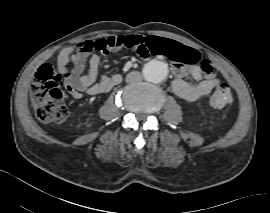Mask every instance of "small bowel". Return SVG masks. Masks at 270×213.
Listing matches in <instances>:
<instances>
[{"label":"small bowel","instance_id":"obj_1","mask_svg":"<svg viewBox=\"0 0 270 213\" xmlns=\"http://www.w3.org/2000/svg\"><path fill=\"white\" fill-rule=\"evenodd\" d=\"M160 46H164L162 49ZM127 47V36L114 35L98 41L84 40L77 45L65 47L59 54L58 66L63 73L66 68L71 75L64 77L66 90L73 98H80L83 93L98 95L110 90L121 82L119 74L99 76V68L103 57L112 51ZM160 53L173 61L174 79L172 87L175 93L184 100L195 101L208 95L220 82V78L213 67L212 73L206 75L201 66L197 65L198 52L172 40L159 38L156 45H146L136 53L139 57L146 58L150 54ZM68 61L72 65H68ZM88 63L89 69L86 71ZM191 76L196 84L189 83L184 77Z\"/></svg>","mask_w":270,"mask_h":213}]
</instances>
